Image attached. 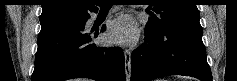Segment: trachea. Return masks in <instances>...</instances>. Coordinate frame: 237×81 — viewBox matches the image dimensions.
Segmentation results:
<instances>
[{
	"mask_svg": "<svg viewBox=\"0 0 237 81\" xmlns=\"http://www.w3.org/2000/svg\"><path fill=\"white\" fill-rule=\"evenodd\" d=\"M118 2L115 1H103L100 4V9L101 10H108L111 8L112 5H117Z\"/></svg>",
	"mask_w": 237,
	"mask_h": 81,
	"instance_id": "1",
	"label": "trachea"
}]
</instances>
